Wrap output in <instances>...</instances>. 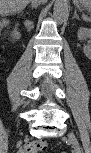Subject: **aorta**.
Instances as JSON below:
<instances>
[{"instance_id": "762f6f07", "label": "aorta", "mask_w": 91, "mask_h": 153, "mask_svg": "<svg viewBox=\"0 0 91 153\" xmlns=\"http://www.w3.org/2000/svg\"><path fill=\"white\" fill-rule=\"evenodd\" d=\"M68 2V0H55L53 8V17L54 20L59 24L63 23L68 16Z\"/></svg>"}]
</instances>
